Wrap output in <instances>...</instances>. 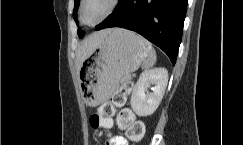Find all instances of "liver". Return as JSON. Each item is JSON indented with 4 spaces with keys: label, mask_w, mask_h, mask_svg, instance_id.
I'll return each mask as SVG.
<instances>
[{
    "label": "liver",
    "mask_w": 243,
    "mask_h": 145,
    "mask_svg": "<svg viewBox=\"0 0 243 145\" xmlns=\"http://www.w3.org/2000/svg\"><path fill=\"white\" fill-rule=\"evenodd\" d=\"M111 29L102 30L99 32L92 33L85 38L76 53V66L77 70L80 69L82 63L97 49L102 43L103 39L110 32Z\"/></svg>",
    "instance_id": "liver-1"
}]
</instances>
